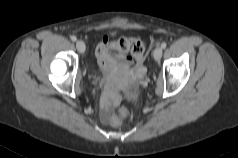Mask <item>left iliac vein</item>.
Returning a JSON list of instances; mask_svg holds the SVG:
<instances>
[{
    "label": "left iliac vein",
    "instance_id": "left-iliac-vein-1",
    "mask_svg": "<svg viewBox=\"0 0 238 158\" xmlns=\"http://www.w3.org/2000/svg\"><path fill=\"white\" fill-rule=\"evenodd\" d=\"M162 48L161 47H157L155 50H154V53H153V56H154V59L155 60H160L161 57H162Z\"/></svg>",
    "mask_w": 238,
    "mask_h": 158
}]
</instances>
